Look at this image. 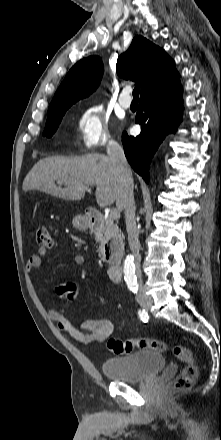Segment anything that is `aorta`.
<instances>
[{
    "label": "aorta",
    "instance_id": "762f6f07",
    "mask_svg": "<svg viewBox=\"0 0 221 440\" xmlns=\"http://www.w3.org/2000/svg\"><path fill=\"white\" fill-rule=\"evenodd\" d=\"M124 279L127 285L135 289L137 286V279L135 275V264L131 256H127L124 263Z\"/></svg>",
    "mask_w": 221,
    "mask_h": 440
}]
</instances>
